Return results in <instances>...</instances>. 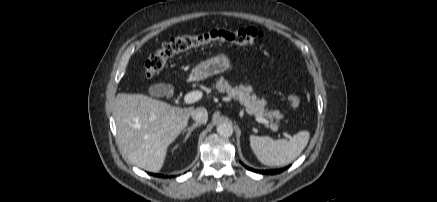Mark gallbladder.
<instances>
[{"mask_svg": "<svg viewBox=\"0 0 437 202\" xmlns=\"http://www.w3.org/2000/svg\"><path fill=\"white\" fill-rule=\"evenodd\" d=\"M152 97H163L168 94V86L163 83L153 84L148 88Z\"/></svg>", "mask_w": 437, "mask_h": 202, "instance_id": "gallbladder-1", "label": "gallbladder"}]
</instances>
